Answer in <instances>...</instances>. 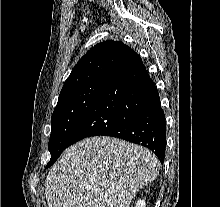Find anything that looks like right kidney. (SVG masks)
Instances as JSON below:
<instances>
[{
    "label": "right kidney",
    "instance_id": "1",
    "mask_svg": "<svg viewBox=\"0 0 220 207\" xmlns=\"http://www.w3.org/2000/svg\"><path fill=\"white\" fill-rule=\"evenodd\" d=\"M146 203H145V200L144 199H139L137 202H136V206L135 207H145Z\"/></svg>",
    "mask_w": 220,
    "mask_h": 207
}]
</instances>
